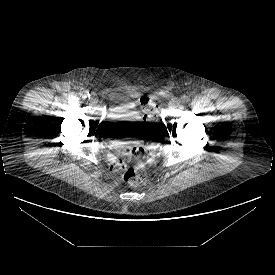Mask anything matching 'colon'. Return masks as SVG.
<instances>
[{
  "mask_svg": "<svg viewBox=\"0 0 275 275\" xmlns=\"http://www.w3.org/2000/svg\"><path fill=\"white\" fill-rule=\"evenodd\" d=\"M138 104L145 117L149 119L156 117L158 106L153 98L141 97ZM129 158H135L139 161L146 159L148 163H151L154 157L153 155H147L145 150L140 146H131L122 150L119 156L118 166L121 167L125 164V160ZM123 177L131 186L138 187L142 185L146 178L144 164L139 162L133 167L127 169Z\"/></svg>",
  "mask_w": 275,
  "mask_h": 275,
  "instance_id": "5ec220e1",
  "label": "colon"
}]
</instances>
